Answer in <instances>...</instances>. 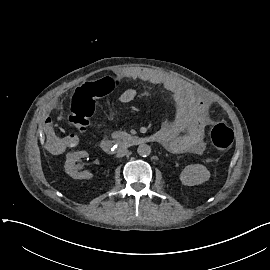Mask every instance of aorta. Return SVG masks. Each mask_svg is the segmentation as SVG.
Listing matches in <instances>:
<instances>
[{
	"instance_id": "1",
	"label": "aorta",
	"mask_w": 270,
	"mask_h": 270,
	"mask_svg": "<svg viewBox=\"0 0 270 270\" xmlns=\"http://www.w3.org/2000/svg\"><path fill=\"white\" fill-rule=\"evenodd\" d=\"M137 153L142 157L149 156L151 154V148L147 144H141L137 149Z\"/></svg>"
}]
</instances>
